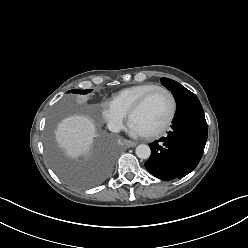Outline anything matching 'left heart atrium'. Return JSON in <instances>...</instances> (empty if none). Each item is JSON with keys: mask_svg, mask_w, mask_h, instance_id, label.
I'll use <instances>...</instances> for the list:
<instances>
[{"mask_svg": "<svg viewBox=\"0 0 248 248\" xmlns=\"http://www.w3.org/2000/svg\"><path fill=\"white\" fill-rule=\"evenodd\" d=\"M130 130L136 135H144L143 132L136 127L133 123H130Z\"/></svg>", "mask_w": 248, "mask_h": 248, "instance_id": "left-heart-atrium-1", "label": "left heart atrium"}]
</instances>
